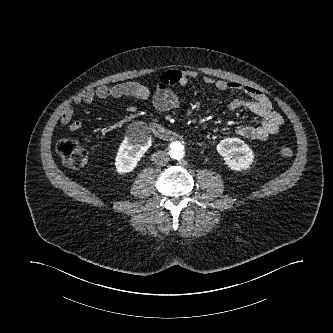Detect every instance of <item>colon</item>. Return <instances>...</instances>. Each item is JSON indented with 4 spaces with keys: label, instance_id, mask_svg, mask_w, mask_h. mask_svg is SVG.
Masks as SVG:
<instances>
[{
    "label": "colon",
    "instance_id": "colon-1",
    "mask_svg": "<svg viewBox=\"0 0 333 333\" xmlns=\"http://www.w3.org/2000/svg\"><path fill=\"white\" fill-rule=\"evenodd\" d=\"M57 152L61 158L62 164L69 169H78L85 166L89 155L85 148L71 139H63L56 146ZM282 158H290L293 150L290 147L283 146L279 150Z\"/></svg>",
    "mask_w": 333,
    "mask_h": 333
}]
</instances>
